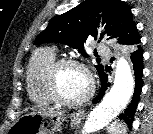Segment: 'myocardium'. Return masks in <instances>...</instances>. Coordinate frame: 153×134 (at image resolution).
<instances>
[{
	"label": "myocardium",
	"instance_id": "f54148a6",
	"mask_svg": "<svg viewBox=\"0 0 153 134\" xmlns=\"http://www.w3.org/2000/svg\"><path fill=\"white\" fill-rule=\"evenodd\" d=\"M64 67H76L81 69L85 73L88 79L89 88L84 97L78 100H69L60 94L58 90L57 79H58L59 72ZM44 83H45V88L47 93L53 99L54 102H57L69 107H77V106L84 105L91 99L94 93V81H93V77H92V73L90 69L88 68L86 64L76 59H69V58L55 59L47 67L45 71Z\"/></svg>",
	"mask_w": 153,
	"mask_h": 134
}]
</instances>
